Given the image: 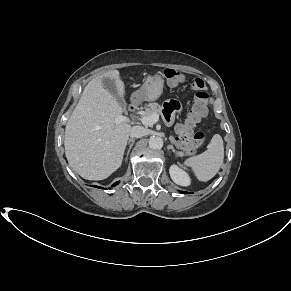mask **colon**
Here are the masks:
<instances>
[{
	"label": "colon",
	"mask_w": 291,
	"mask_h": 291,
	"mask_svg": "<svg viewBox=\"0 0 291 291\" xmlns=\"http://www.w3.org/2000/svg\"><path fill=\"white\" fill-rule=\"evenodd\" d=\"M164 76L172 85L179 84L184 78L182 72L174 69H166ZM193 87L197 90L193 107L185 122L177 128L178 145L189 153L196 152L204 143L205 134L197 131L196 126L206 116L208 106V94L203 89V82L196 79Z\"/></svg>",
	"instance_id": "obj_1"
}]
</instances>
